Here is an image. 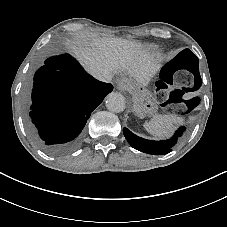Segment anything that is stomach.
Wrapping results in <instances>:
<instances>
[{
	"label": "stomach",
	"mask_w": 227,
	"mask_h": 227,
	"mask_svg": "<svg viewBox=\"0 0 227 227\" xmlns=\"http://www.w3.org/2000/svg\"><path fill=\"white\" fill-rule=\"evenodd\" d=\"M119 81L127 84L126 90L123 91H129L133 95V108L138 115H151L157 111L156 97L150 90L127 78Z\"/></svg>",
	"instance_id": "obj_1"
}]
</instances>
